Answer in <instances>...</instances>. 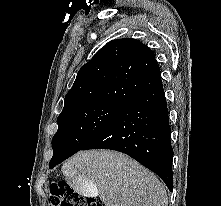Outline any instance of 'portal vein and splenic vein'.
<instances>
[{"label": "portal vein and splenic vein", "instance_id": "portal-vein-and-splenic-vein-1", "mask_svg": "<svg viewBox=\"0 0 221 206\" xmlns=\"http://www.w3.org/2000/svg\"><path fill=\"white\" fill-rule=\"evenodd\" d=\"M95 190H96V189L92 186L91 192L94 193Z\"/></svg>", "mask_w": 221, "mask_h": 206}]
</instances>
